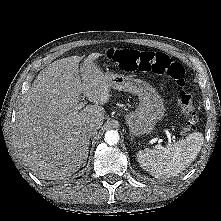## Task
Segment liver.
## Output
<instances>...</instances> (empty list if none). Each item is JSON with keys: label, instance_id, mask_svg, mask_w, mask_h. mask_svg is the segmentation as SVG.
I'll list each match as a JSON object with an SVG mask.
<instances>
[{"label": "liver", "instance_id": "liver-1", "mask_svg": "<svg viewBox=\"0 0 221 221\" xmlns=\"http://www.w3.org/2000/svg\"><path fill=\"white\" fill-rule=\"evenodd\" d=\"M99 56L90 54L80 69L79 56L52 62L24 95L12 145L39 179H65L86 162L90 139L86 128L90 123L102 126L103 105L110 99L107 76L94 63ZM81 97L93 104L80 103Z\"/></svg>", "mask_w": 221, "mask_h": 221}]
</instances>
